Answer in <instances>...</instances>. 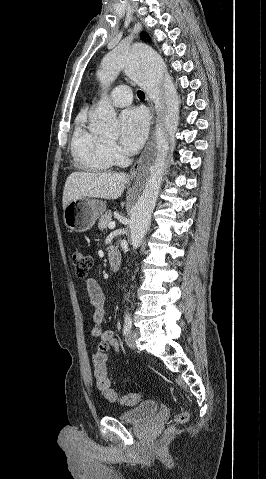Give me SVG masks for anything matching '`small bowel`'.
Returning a JSON list of instances; mask_svg holds the SVG:
<instances>
[{"mask_svg": "<svg viewBox=\"0 0 266 479\" xmlns=\"http://www.w3.org/2000/svg\"><path fill=\"white\" fill-rule=\"evenodd\" d=\"M85 292L93 306L92 321V335L98 338L102 343L107 344L108 347L118 350V343L111 330L102 328L101 323L105 314V295L96 280L88 278L85 281Z\"/></svg>", "mask_w": 266, "mask_h": 479, "instance_id": "small-bowel-1", "label": "small bowel"}]
</instances>
